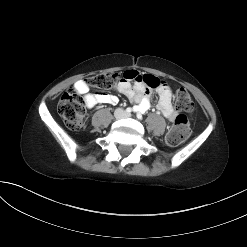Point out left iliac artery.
<instances>
[{"label": "left iliac artery", "instance_id": "44dca946", "mask_svg": "<svg viewBox=\"0 0 247 247\" xmlns=\"http://www.w3.org/2000/svg\"><path fill=\"white\" fill-rule=\"evenodd\" d=\"M137 118L142 119V115L140 113H137Z\"/></svg>", "mask_w": 247, "mask_h": 247}]
</instances>
